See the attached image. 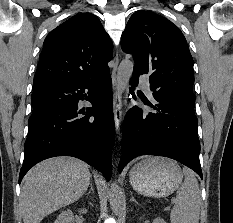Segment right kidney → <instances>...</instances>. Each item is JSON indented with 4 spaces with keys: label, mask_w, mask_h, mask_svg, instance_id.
<instances>
[{
    "label": "right kidney",
    "mask_w": 233,
    "mask_h": 223,
    "mask_svg": "<svg viewBox=\"0 0 233 223\" xmlns=\"http://www.w3.org/2000/svg\"><path fill=\"white\" fill-rule=\"evenodd\" d=\"M80 213H87L86 207L80 209ZM55 223H74V215L71 209H65L62 213H59Z\"/></svg>",
    "instance_id": "ca27d5eb"
}]
</instances>
